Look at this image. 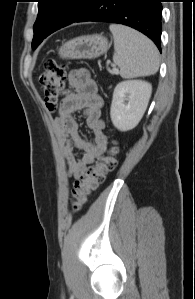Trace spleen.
Returning a JSON list of instances; mask_svg holds the SVG:
<instances>
[{
	"label": "spleen",
	"instance_id": "spleen-1",
	"mask_svg": "<svg viewBox=\"0 0 195 299\" xmlns=\"http://www.w3.org/2000/svg\"><path fill=\"white\" fill-rule=\"evenodd\" d=\"M109 30L114 39L113 61L122 78L149 76L158 71L159 52L149 38L121 24H111Z\"/></svg>",
	"mask_w": 195,
	"mask_h": 299
}]
</instances>
